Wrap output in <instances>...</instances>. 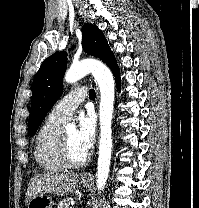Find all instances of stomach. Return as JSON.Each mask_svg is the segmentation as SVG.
I'll use <instances>...</instances> for the list:
<instances>
[{
  "label": "stomach",
  "instance_id": "stomach-1",
  "mask_svg": "<svg viewBox=\"0 0 199 208\" xmlns=\"http://www.w3.org/2000/svg\"><path fill=\"white\" fill-rule=\"evenodd\" d=\"M83 187H89L91 183L89 181H81ZM54 202L50 195L40 194L34 198H32L28 204L27 208H52Z\"/></svg>",
  "mask_w": 199,
  "mask_h": 208
}]
</instances>
